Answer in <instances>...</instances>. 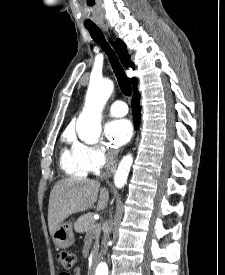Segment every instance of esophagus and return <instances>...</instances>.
<instances>
[{
    "label": "esophagus",
    "mask_w": 225,
    "mask_h": 275,
    "mask_svg": "<svg viewBox=\"0 0 225 275\" xmlns=\"http://www.w3.org/2000/svg\"><path fill=\"white\" fill-rule=\"evenodd\" d=\"M103 29L107 31V28L105 26H103Z\"/></svg>",
    "instance_id": "34e87169"
}]
</instances>
